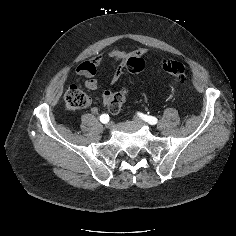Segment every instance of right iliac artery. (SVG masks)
<instances>
[{
  "mask_svg": "<svg viewBox=\"0 0 236 236\" xmlns=\"http://www.w3.org/2000/svg\"><path fill=\"white\" fill-rule=\"evenodd\" d=\"M100 121L104 124L107 123L109 121V115L108 114H102L100 116Z\"/></svg>",
  "mask_w": 236,
  "mask_h": 236,
  "instance_id": "1",
  "label": "right iliac artery"
}]
</instances>
